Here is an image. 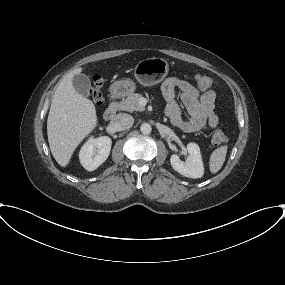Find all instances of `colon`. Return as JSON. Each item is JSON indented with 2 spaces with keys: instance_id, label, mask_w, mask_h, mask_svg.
I'll list each match as a JSON object with an SVG mask.
<instances>
[{
  "instance_id": "1",
  "label": "colon",
  "mask_w": 285,
  "mask_h": 285,
  "mask_svg": "<svg viewBox=\"0 0 285 285\" xmlns=\"http://www.w3.org/2000/svg\"><path fill=\"white\" fill-rule=\"evenodd\" d=\"M195 82L201 89L204 90H211L216 86V81L205 74H196ZM101 86H102L101 79L99 77H95L93 81V86L90 91V95L93 102L96 104H101L103 101ZM226 140L227 137L221 129L215 130V132L212 135V142L214 145H220L226 142Z\"/></svg>"
}]
</instances>
